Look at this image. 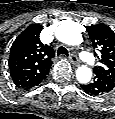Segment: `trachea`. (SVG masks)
<instances>
[{
	"label": "trachea",
	"instance_id": "3493384b",
	"mask_svg": "<svg viewBox=\"0 0 115 119\" xmlns=\"http://www.w3.org/2000/svg\"><path fill=\"white\" fill-rule=\"evenodd\" d=\"M57 55L58 56L59 55H66V56H68V50L65 47H63V46H60L58 48V50H57Z\"/></svg>",
	"mask_w": 115,
	"mask_h": 119
}]
</instances>
